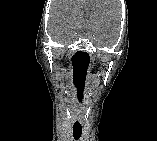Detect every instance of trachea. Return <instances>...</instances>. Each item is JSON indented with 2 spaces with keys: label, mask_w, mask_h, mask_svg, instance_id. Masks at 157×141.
I'll return each mask as SVG.
<instances>
[{
  "label": "trachea",
  "mask_w": 157,
  "mask_h": 141,
  "mask_svg": "<svg viewBox=\"0 0 157 141\" xmlns=\"http://www.w3.org/2000/svg\"><path fill=\"white\" fill-rule=\"evenodd\" d=\"M82 135V127L81 126H73V137L75 140L80 139Z\"/></svg>",
  "instance_id": "3493384b"
}]
</instances>
